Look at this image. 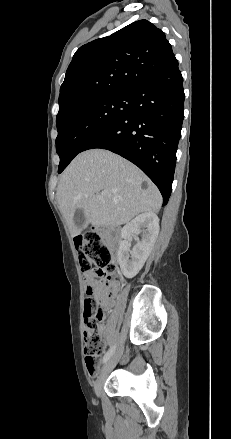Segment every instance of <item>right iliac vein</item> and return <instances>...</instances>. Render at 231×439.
<instances>
[{
	"label": "right iliac vein",
	"instance_id": "obj_1",
	"mask_svg": "<svg viewBox=\"0 0 231 439\" xmlns=\"http://www.w3.org/2000/svg\"><path fill=\"white\" fill-rule=\"evenodd\" d=\"M121 354H122V349H119L114 355H112L111 358H109V360L102 367L99 377L97 378L94 385L95 393L98 396L101 395L105 379L107 378L110 371L115 367V365L119 361Z\"/></svg>",
	"mask_w": 231,
	"mask_h": 439
}]
</instances>
